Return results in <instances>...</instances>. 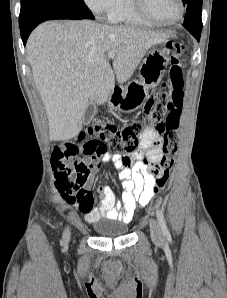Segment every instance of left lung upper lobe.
I'll use <instances>...</instances> for the list:
<instances>
[{
  "instance_id": "5c2ea615",
  "label": "left lung upper lobe",
  "mask_w": 227,
  "mask_h": 298,
  "mask_svg": "<svg viewBox=\"0 0 227 298\" xmlns=\"http://www.w3.org/2000/svg\"><path fill=\"white\" fill-rule=\"evenodd\" d=\"M203 0H183L187 8L183 26L195 37L201 35L202 30V10Z\"/></svg>"
}]
</instances>
